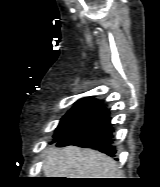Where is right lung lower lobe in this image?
I'll return each instance as SVG.
<instances>
[{
    "instance_id": "98d812e1",
    "label": "right lung lower lobe",
    "mask_w": 160,
    "mask_h": 187,
    "mask_svg": "<svg viewBox=\"0 0 160 187\" xmlns=\"http://www.w3.org/2000/svg\"><path fill=\"white\" fill-rule=\"evenodd\" d=\"M112 132L109 111L102 104L97 106L94 114L77 130L57 141V146L75 145L95 148L111 157H115L116 149L113 146Z\"/></svg>"
}]
</instances>
